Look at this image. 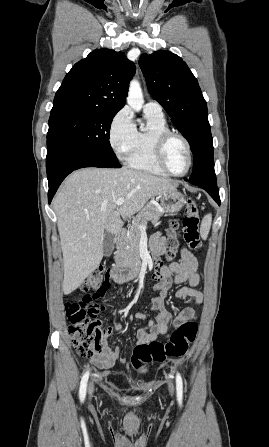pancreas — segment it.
Returning <instances> with one entry per match:
<instances>
[{
    "label": "pancreas",
    "instance_id": "cf45deb5",
    "mask_svg": "<svg viewBox=\"0 0 269 447\" xmlns=\"http://www.w3.org/2000/svg\"><path fill=\"white\" fill-rule=\"evenodd\" d=\"M164 212H159L154 204H146L139 214H137L134 224L130 225L127 235L121 237L119 245L116 247L114 259L116 263H123L131 269H139L141 263L139 257V243L141 237V229L138 225H147L148 222L156 224L163 216Z\"/></svg>",
    "mask_w": 269,
    "mask_h": 447
}]
</instances>
